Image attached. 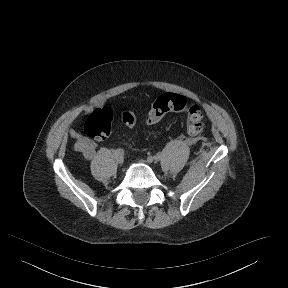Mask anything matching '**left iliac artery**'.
<instances>
[{"instance_id": "1", "label": "left iliac artery", "mask_w": 288, "mask_h": 288, "mask_svg": "<svg viewBox=\"0 0 288 288\" xmlns=\"http://www.w3.org/2000/svg\"><path fill=\"white\" fill-rule=\"evenodd\" d=\"M159 155H154L153 157H152V160H154L155 162H157L158 160H159Z\"/></svg>"}]
</instances>
